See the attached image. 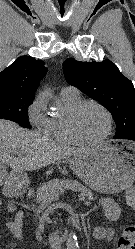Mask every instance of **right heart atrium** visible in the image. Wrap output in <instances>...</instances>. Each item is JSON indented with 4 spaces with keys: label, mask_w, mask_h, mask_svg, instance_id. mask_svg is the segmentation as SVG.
Returning <instances> with one entry per match:
<instances>
[{
    "label": "right heart atrium",
    "mask_w": 135,
    "mask_h": 249,
    "mask_svg": "<svg viewBox=\"0 0 135 249\" xmlns=\"http://www.w3.org/2000/svg\"><path fill=\"white\" fill-rule=\"evenodd\" d=\"M45 102L42 95H38L28 107V120L38 132H46L49 118L44 114Z\"/></svg>",
    "instance_id": "1"
}]
</instances>
